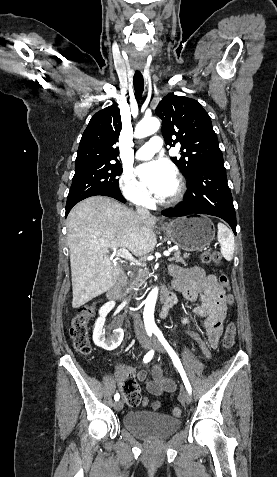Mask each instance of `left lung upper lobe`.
<instances>
[{
	"instance_id": "obj_1",
	"label": "left lung upper lobe",
	"mask_w": 277,
	"mask_h": 477,
	"mask_svg": "<svg viewBox=\"0 0 277 477\" xmlns=\"http://www.w3.org/2000/svg\"><path fill=\"white\" fill-rule=\"evenodd\" d=\"M156 115L163 121L166 144L172 147L181 143V156L171 159L187 180L200 164L223 159L211 119L198 101L170 93L158 104Z\"/></svg>"
}]
</instances>
